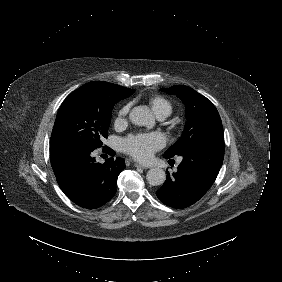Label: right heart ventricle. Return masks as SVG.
I'll use <instances>...</instances> for the list:
<instances>
[{"instance_id": "1", "label": "right heart ventricle", "mask_w": 282, "mask_h": 282, "mask_svg": "<svg viewBox=\"0 0 282 282\" xmlns=\"http://www.w3.org/2000/svg\"><path fill=\"white\" fill-rule=\"evenodd\" d=\"M150 104L155 114L159 117H166L171 113L172 107L170 102L162 97H154Z\"/></svg>"}]
</instances>
